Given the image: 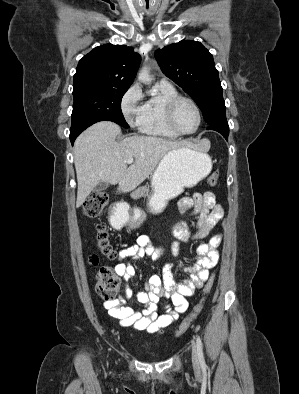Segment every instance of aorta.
Instances as JSON below:
<instances>
[{
    "instance_id": "obj_1",
    "label": "aorta",
    "mask_w": 299,
    "mask_h": 394,
    "mask_svg": "<svg viewBox=\"0 0 299 394\" xmlns=\"http://www.w3.org/2000/svg\"><path fill=\"white\" fill-rule=\"evenodd\" d=\"M138 80L143 84H149L151 82V76L147 67L142 68L138 74Z\"/></svg>"
}]
</instances>
